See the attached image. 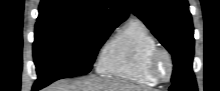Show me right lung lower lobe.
Masks as SVG:
<instances>
[{"instance_id":"obj_1","label":"right lung lower lobe","mask_w":220,"mask_h":91,"mask_svg":"<svg viewBox=\"0 0 220 91\" xmlns=\"http://www.w3.org/2000/svg\"><path fill=\"white\" fill-rule=\"evenodd\" d=\"M43 87H45V86L34 84V86H33V91H36V90L41 89V88H43Z\"/></svg>"}]
</instances>
